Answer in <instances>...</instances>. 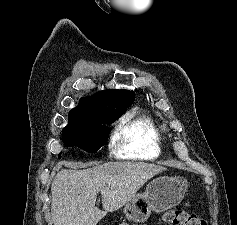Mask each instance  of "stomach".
Wrapping results in <instances>:
<instances>
[{"instance_id": "obj_1", "label": "stomach", "mask_w": 237, "mask_h": 225, "mask_svg": "<svg viewBox=\"0 0 237 225\" xmlns=\"http://www.w3.org/2000/svg\"><path fill=\"white\" fill-rule=\"evenodd\" d=\"M188 182L181 177L162 176L152 180L143 194H135L124 207L129 221L143 222L151 211L164 212L179 204L187 190Z\"/></svg>"}]
</instances>
